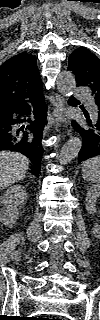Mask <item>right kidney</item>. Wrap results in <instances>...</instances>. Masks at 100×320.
<instances>
[{
  "label": "right kidney",
  "mask_w": 100,
  "mask_h": 320,
  "mask_svg": "<svg viewBox=\"0 0 100 320\" xmlns=\"http://www.w3.org/2000/svg\"><path fill=\"white\" fill-rule=\"evenodd\" d=\"M26 196V189L20 184L9 187L1 194L0 221L4 225L10 228L13 227L20 215L19 208L24 205L26 201Z\"/></svg>",
  "instance_id": "right-kidney-1"
}]
</instances>
